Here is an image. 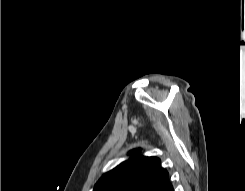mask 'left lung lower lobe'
Masks as SVG:
<instances>
[{
    "mask_svg": "<svg viewBox=\"0 0 245 191\" xmlns=\"http://www.w3.org/2000/svg\"><path fill=\"white\" fill-rule=\"evenodd\" d=\"M160 191H174L172 183L169 182Z\"/></svg>",
    "mask_w": 245,
    "mask_h": 191,
    "instance_id": "0a47b994",
    "label": "left lung lower lobe"
}]
</instances>
